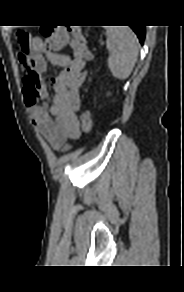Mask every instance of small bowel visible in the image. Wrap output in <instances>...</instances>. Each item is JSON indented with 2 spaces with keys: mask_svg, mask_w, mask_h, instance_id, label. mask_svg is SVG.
<instances>
[{
  "mask_svg": "<svg viewBox=\"0 0 184 292\" xmlns=\"http://www.w3.org/2000/svg\"><path fill=\"white\" fill-rule=\"evenodd\" d=\"M18 61L25 72L23 96L33 124L53 148L67 150L69 141L80 133L79 87L87 74L86 63L66 54L48 52L39 38L31 37L29 47L20 49ZM47 63L63 68L49 81L55 91L52 98L43 78Z\"/></svg>",
  "mask_w": 184,
  "mask_h": 292,
  "instance_id": "small-bowel-1",
  "label": "small bowel"
}]
</instances>
